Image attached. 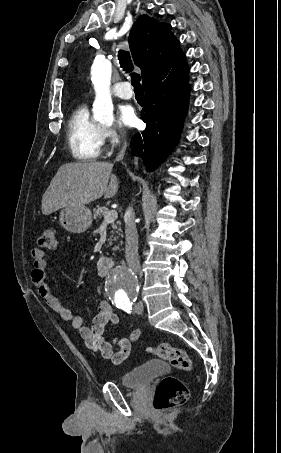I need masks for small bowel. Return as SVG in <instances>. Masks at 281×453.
Instances as JSON below:
<instances>
[{"mask_svg": "<svg viewBox=\"0 0 281 453\" xmlns=\"http://www.w3.org/2000/svg\"><path fill=\"white\" fill-rule=\"evenodd\" d=\"M31 258L33 266L30 270V279L35 284L37 293L45 303L54 310L63 320L68 321L79 332L85 345L92 351H96L104 359L110 360L115 366L122 364L130 355L131 345L136 342L142 332L134 331L129 338H114L112 341L105 339L103 333L107 325L110 331L118 323L112 306L108 300H102L98 305V313L93 319L91 326L83 323L79 315L74 314L69 307L60 302L51 291L47 282V258L42 250H32ZM99 292V288H97ZM114 349H117L115 352Z\"/></svg>", "mask_w": 281, "mask_h": 453, "instance_id": "c3829d8e", "label": "small bowel"}]
</instances>
